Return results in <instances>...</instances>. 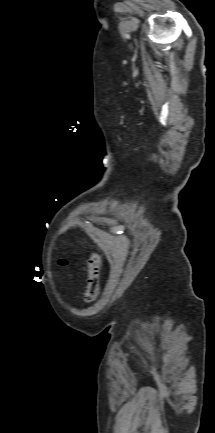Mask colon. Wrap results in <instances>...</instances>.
Masks as SVG:
<instances>
[{
  "label": "colon",
  "mask_w": 215,
  "mask_h": 433,
  "mask_svg": "<svg viewBox=\"0 0 215 433\" xmlns=\"http://www.w3.org/2000/svg\"><path fill=\"white\" fill-rule=\"evenodd\" d=\"M60 264L62 266L66 265L67 260L61 259ZM100 269V255L97 252H93L88 259L86 267L87 286L84 293V301L86 303L94 302L98 295L100 285Z\"/></svg>",
  "instance_id": "1"
}]
</instances>
